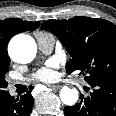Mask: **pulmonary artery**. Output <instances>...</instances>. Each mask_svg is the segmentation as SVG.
Listing matches in <instances>:
<instances>
[{
    "label": "pulmonary artery",
    "mask_w": 116,
    "mask_h": 116,
    "mask_svg": "<svg viewBox=\"0 0 116 116\" xmlns=\"http://www.w3.org/2000/svg\"><path fill=\"white\" fill-rule=\"evenodd\" d=\"M36 39L38 42V47L42 53L48 54L50 53L55 45L54 37H43L36 34ZM13 87V83H11V88Z\"/></svg>",
    "instance_id": "pulmonary-artery-1"
}]
</instances>
